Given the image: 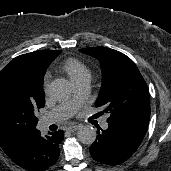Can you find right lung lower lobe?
I'll return each instance as SVG.
<instances>
[{"instance_id": "obj_1", "label": "right lung lower lobe", "mask_w": 171, "mask_h": 171, "mask_svg": "<svg viewBox=\"0 0 171 171\" xmlns=\"http://www.w3.org/2000/svg\"><path fill=\"white\" fill-rule=\"evenodd\" d=\"M63 138L62 130L49 132L44 137L38 131L12 161L25 170L46 171L56 163Z\"/></svg>"}]
</instances>
